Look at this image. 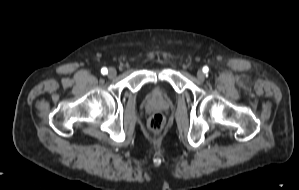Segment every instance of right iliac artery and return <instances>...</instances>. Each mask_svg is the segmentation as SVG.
Here are the masks:
<instances>
[{"label": "right iliac artery", "instance_id": "1", "mask_svg": "<svg viewBox=\"0 0 299 190\" xmlns=\"http://www.w3.org/2000/svg\"><path fill=\"white\" fill-rule=\"evenodd\" d=\"M101 73H102L103 75L107 74V73H108L107 68L103 67V68L101 69Z\"/></svg>", "mask_w": 299, "mask_h": 190}]
</instances>
